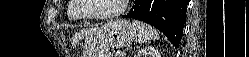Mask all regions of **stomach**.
Segmentation results:
<instances>
[{"instance_id": "1", "label": "stomach", "mask_w": 249, "mask_h": 57, "mask_svg": "<svg viewBox=\"0 0 249 57\" xmlns=\"http://www.w3.org/2000/svg\"><path fill=\"white\" fill-rule=\"evenodd\" d=\"M136 31L129 20L108 22L86 37L83 57H111L110 48L130 45L136 38Z\"/></svg>"}]
</instances>
